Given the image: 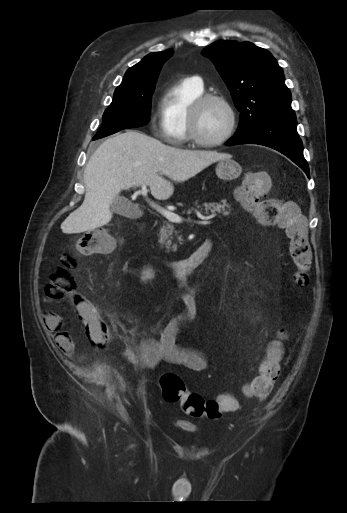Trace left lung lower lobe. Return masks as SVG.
I'll return each mask as SVG.
<instances>
[{"label": "left lung lower lobe", "mask_w": 347, "mask_h": 513, "mask_svg": "<svg viewBox=\"0 0 347 513\" xmlns=\"http://www.w3.org/2000/svg\"><path fill=\"white\" fill-rule=\"evenodd\" d=\"M296 127V117L272 118L242 135H235L226 142V145L258 144L270 147L290 158L309 177V167L303 156V145Z\"/></svg>", "instance_id": "1"}]
</instances>
